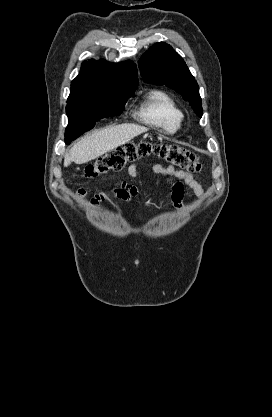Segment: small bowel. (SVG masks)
<instances>
[{"mask_svg": "<svg viewBox=\"0 0 272 417\" xmlns=\"http://www.w3.org/2000/svg\"><path fill=\"white\" fill-rule=\"evenodd\" d=\"M127 171L129 176L132 178H138L141 175L138 163L131 164ZM151 172L156 175H162L167 178L175 179L171 186V199L177 209L181 207V203L185 196V188L192 190L198 198L203 196V187L201 183L191 173L175 169L173 166H163L161 164L152 165ZM76 194L79 198H82L87 194V189L79 188L77 189ZM137 195L138 192L136 187L126 182H120L113 185L110 191H102L95 194V196L91 199L90 204L92 208H96L101 202L110 197L132 203Z\"/></svg>", "mask_w": 272, "mask_h": 417, "instance_id": "c3829d8e", "label": "small bowel"}]
</instances>
